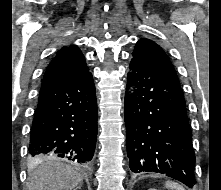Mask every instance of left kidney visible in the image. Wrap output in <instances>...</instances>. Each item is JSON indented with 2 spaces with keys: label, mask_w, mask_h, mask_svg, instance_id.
Listing matches in <instances>:
<instances>
[{
  "label": "left kidney",
  "mask_w": 221,
  "mask_h": 190,
  "mask_svg": "<svg viewBox=\"0 0 221 190\" xmlns=\"http://www.w3.org/2000/svg\"><path fill=\"white\" fill-rule=\"evenodd\" d=\"M148 190H156V189H148Z\"/></svg>",
  "instance_id": "obj_1"
}]
</instances>
